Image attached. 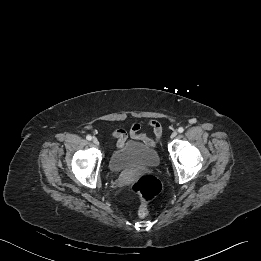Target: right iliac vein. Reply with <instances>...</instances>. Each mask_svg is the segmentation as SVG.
I'll return each mask as SVG.
<instances>
[{
  "mask_svg": "<svg viewBox=\"0 0 261 261\" xmlns=\"http://www.w3.org/2000/svg\"><path fill=\"white\" fill-rule=\"evenodd\" d=\"M93 143L98 146L99 145L98 139L97 138H93Z\"/></svg>",
  "mask_w": 261,
  "mask_h": 261,
  "instance_id": "63e3f726",
  "label": "right iliac vein"
}]
</instances>
